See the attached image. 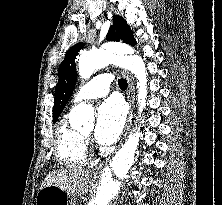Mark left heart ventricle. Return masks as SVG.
I'll return each instance as SVG.
<instances>
[{
    "label": "left heart ventricle",
    "mask_w": 222,
    "mask_h": 205,
    "mask_svg": "<svg viewBox=\"0 0 222 205\" xmlns=\"http://www.w3.org/2000/svg\"><path fill=\"white\" fill-rule=\"evenodd\" d=\"M90 133H91V129L88 130V131L83 132L84 135H90Z\"/></svg>",
    "instance_id": "left-heart-ventricle-1"
}]
</instances>
